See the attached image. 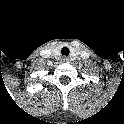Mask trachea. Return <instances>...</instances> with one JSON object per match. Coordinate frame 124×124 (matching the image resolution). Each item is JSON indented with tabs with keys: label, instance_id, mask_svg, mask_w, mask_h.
I'll return each mask as SVG.
<instances>
[{
	"label": "trachea",
	"instance_id": "trachea-1",
	"mask_svg": "<svg viewBox=\"0 0 124 124\" xmlns=\"http://www.w3.org/2000/svg\"><path fill=\"white\" fill-rule=\"evenodd\" d=\"M70 53L69 48L68 47H63L61 50V54L64 56H68Z\"/></svg>",
	"mask_w": 124,
	"mask_h": 124
}]
</instances>
